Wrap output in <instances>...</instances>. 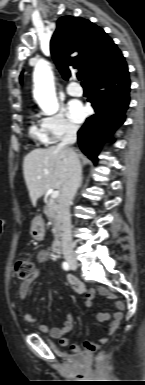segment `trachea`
Listing matches in <instances>:
<instances>
[{
  "label": "trachea",
  "mask_w": 145,
  "mask_h": 385,
  "mask_svg": "<svg viewBox=\"0 0 145 385\" xmlns=\"http://www.w3.org/2000/svg\"><path fill=\"white\" fill-rule=\"evenodd\" d=\"M77 78H78V80H81V76L80 75H77ZM82 84H84V82H82Z\"/></svg>",
  "instance_id": "1"
}]
</instances>
